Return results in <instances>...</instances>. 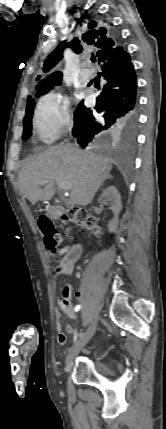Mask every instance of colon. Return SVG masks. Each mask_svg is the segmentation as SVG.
<instances>
[{"label": "colon", "mask_w": 166, "mask_h": 429, "mask_svg": "<svg viewBox=\"0 0 166 429\" xmlns=\"http://www.w3.org/2000/svg\"><path fill=\"white\" fill-rule=\"evenodd\" d=\"M62 218L65 221L72 222L85 229L92 230L96 227V220L93 216L89 215L84 209L77 207H70L62 212ZM39 226L43 233L44 243L48 251L55 254L59 250L62 243L60 233L54 227L52 221L47 217H41Z\"/></svg>", "instance_id": "colon-1"}]
</instances>
